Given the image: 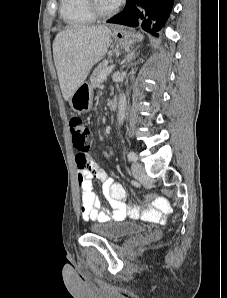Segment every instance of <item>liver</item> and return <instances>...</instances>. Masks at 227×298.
I'll return each instance as SVG.
<instances>
[{
	"label": "liver",
	"mask_w": 227,
	"mask_h": 298,
	"mask_svg": "<svg viewBox=\"0 0 227 298\" xmlns=\"http://www.w3.org/2000/svg\"><path fill=\"white\" fill-rule=\"evenodd\" d=\"M111 31L107 26H77L61 31L53 43V57L62 95L70 100L92 67L107 53Z\"/></svg>",
	"instance_id": "6515ba94"
}]
</instances>
